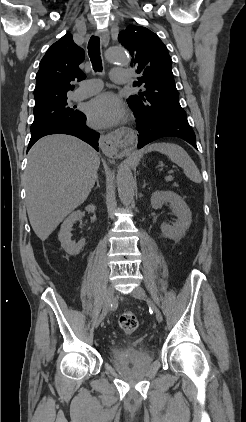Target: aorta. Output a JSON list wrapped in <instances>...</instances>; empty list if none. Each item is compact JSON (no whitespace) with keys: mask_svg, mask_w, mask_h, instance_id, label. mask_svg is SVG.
Wrapping results in <instances>:
<instances>
[{"mask_svg":"<svg viewBox=\"0 0 246 422\" xmlns=\"http://www.w3.org/2000/svg\"><path fill=\"white\" fill-rule=\"evenodd\" d=\"M106 59L111 63L125 64L128 56L122 47H110L106 53ZM117 190L123 205H129L134 196V178L129 165H120L117 173Z\"/></svg>","mask_w":246,"mask_h":422,"instance_id":"obj_1","label":"aorta"}]
</instances>
